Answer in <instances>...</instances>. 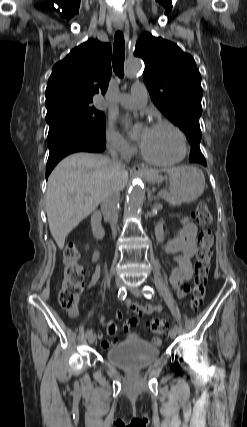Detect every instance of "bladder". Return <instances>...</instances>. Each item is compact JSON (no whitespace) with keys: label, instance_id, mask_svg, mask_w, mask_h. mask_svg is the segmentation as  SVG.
<instances>
[{"label":"bladder","instance_id":"1","mask_svg":"<svg viewBox=\"0 0 247 427\" xmlns=\"http://www.w3.org/2000/svg\"><path fill=\"white\" fill-rule=\"evenodd\" d=\"M159 355V348L149 342L127 340L110 347L106 359L123 369L138 370L155 362Z\"/></svg>","mask_w":247,"mask_h":427}]
</instances>
